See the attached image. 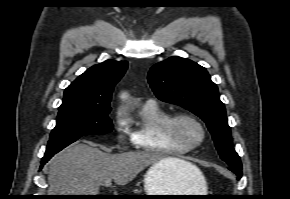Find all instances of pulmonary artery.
I'll list each match as a JSON object with an SVG mask.
<instances>
[{
  "mask_svg": "<svg viewBox=\"0 0 290 199\" xmlns=\"http://www.w3.org/2000/svg\"><path fill=\"white\" fill-rule=\"evenodd\" d=\"M146 103H156V102L154 100H152V99H149V100H147Z\"/></svg>",
  "mask_w": 290,
  "mask_h": 199,
  "instance_id": "e3ab8cb5",
  "label": "pulmonary artery"
}]
</instances>
